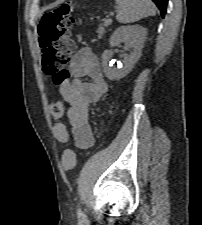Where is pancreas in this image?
Instances as JSON below:
<instances>
[{
	"instance_id": "obj_1",
	"label": "pancreas",
	"mask_w": 202,
	"mask_h": 225,
	"mask_svg": "<svg viewBox=\"0 0 202 225\" xmlns=\"http://www.w3.org/2000/svg\"><path fill=\"white\" fill-rule=\"evenodd\" d=\"M104 21V27H107L109 25V23H107L106 20H103ZM97 33H98V37H101L104 33H105V29L103 27H99L97 29Z\"/></svg>"
}]
</instances>
